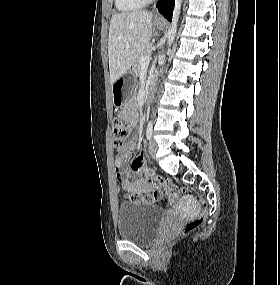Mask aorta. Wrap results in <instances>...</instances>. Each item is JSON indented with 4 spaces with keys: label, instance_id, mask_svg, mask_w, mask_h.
Here are the masks:
<instances>
[{
    "label": "aorta",
    "instance_id": "1",
    "mask_svg": "<svg viewBox=\"0 0 280 285\" xmlns=\"http://www.w3.org/2000/svg\"><path fill=\"white\" fill-rule=\"evenodd\" d=\"M181 4H182V0H175L172 23L167 33L169 46H171L176 36L178 20H179L180 11H181Z\"/></svg>",
    "mask_w": 280,
    "mask_h": 285
}]
</instances>
